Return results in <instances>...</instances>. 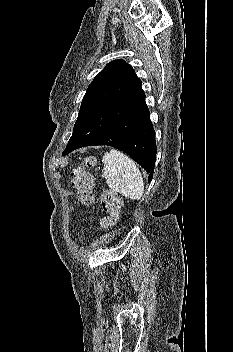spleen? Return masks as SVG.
<instances>
[{
	"label": "spleen",
	"instance_id": "obj_1",
	"mask_svg": "<svg viewBox=\"0 0 233 352\" xmlns=\"http://www.w3.org/2000/svg\"><path fill=\"white\" fill-rule=\"evenodd\" d=\"M106 183L115 192L128 199L139 200L144 191L141 171L135 162L124 153L111 149L102 159Z\"/></svg>",
	"mask_w": 233,
	"mask_h": 352
}]
</instances>
